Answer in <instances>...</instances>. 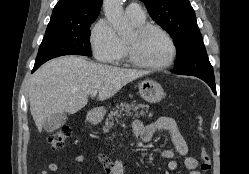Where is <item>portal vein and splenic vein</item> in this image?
Instances as JSON below:
<instances>
[{"label":"portal vein and splenic vein","instance_id":"1","mask_svg":"<svg viewBox=\"0 0 249 174\" xmlns=\"http://www.w3.org/2000/svg\"><path fill=\"white\" fill-rule=\"evenodd\" d=\"M90 94H91L92 97H95V96L97 95V91L94 90V91H92Z\"/></svg>","mask_w":249,"mask_h":174}]
</instances>
